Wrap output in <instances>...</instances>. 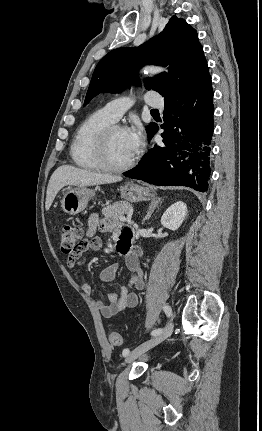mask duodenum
Wrapping results in <instances>:
<instances>
[{"instance_id":"410a0bca","label":"duodenum","mask_w":262,"mask_h":431,"mask_svg":"<svg viewBox=\"0 0 262 431\" xmlns=\"http://www.w3.org/2000/svg\"><path fill=\"white\" fill-rule=\"evenodd\" d=\"M123 246H124V245H123V243H121V244H119V246H118V247H119V249H122V248H123Z\"/></svg>"}]
</instances>
